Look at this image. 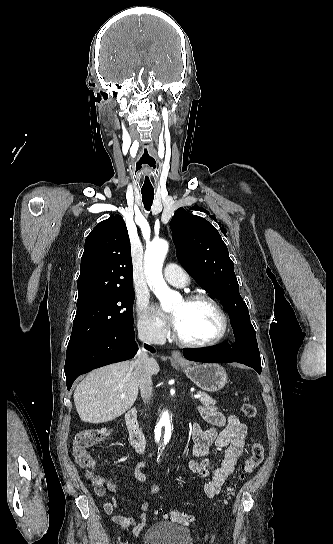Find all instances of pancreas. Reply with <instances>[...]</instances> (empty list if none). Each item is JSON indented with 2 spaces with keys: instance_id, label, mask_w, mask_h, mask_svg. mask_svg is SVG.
<instances>
[{
  "instance_id": "1",
  "label": "pancreas",
  "mask_w": 333,
  "mask_h": 544,
  "mask_svg": "<svg viewBox=\"0 0 333 544\" xmlns=\"http://www.w3.org/2000/svg\"><path fill=\"white\" fill-rule=\"evenodd\" d=\"M200 395H201V398H200V402L203 404V405H214L216 403L215 400H213L209 395H207L206 393L204 392H198Z\"/></svg>"
}]
</instances>
